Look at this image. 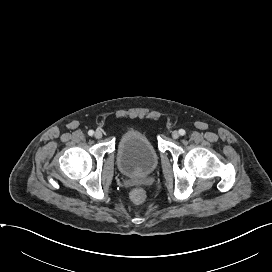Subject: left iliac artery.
<instances>
[{
  "mask_svg": "<svg viewBox=\"0 0 272 272\" xmlns=\"http://www.w3.org/2000/svg\"><path fill=\"white\" fill-rule=\"evenodd\" d=\"M179 134L183 136V135H185V134H186V132H185V130H184V129H180V130H179Z\"/></svg>",
  "mask_w": 272,
  "mask_h": 272,
  "instance_id": "obj_1",
  "label": "left iliac artery"
}]
</instances>
